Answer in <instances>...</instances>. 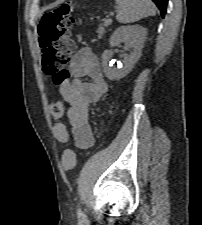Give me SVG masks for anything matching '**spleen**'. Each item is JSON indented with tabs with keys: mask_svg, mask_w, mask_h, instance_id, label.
<instances>
[{
	"mask_svg": "<svg viewBox=\"0 0 202 225\" xmlns=\"http://www.w3.org/2000/svg\"><path fill=\"white\" fill-rule=\"evenodd\" d=\"M119 6L116 19L120 23H133L156 14L151 0H116Z\"/></svg>",
	"mask_w": 202,
	"mask_h": 225,
	"instance_id": "1",
	"label": "spleen"
}]
</instances>
